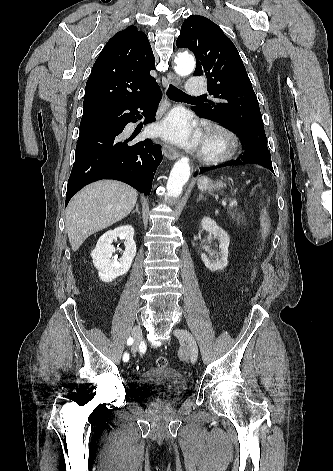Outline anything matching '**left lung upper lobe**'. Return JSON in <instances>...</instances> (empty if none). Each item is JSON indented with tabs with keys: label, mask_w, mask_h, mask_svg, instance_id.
<instances>
[{
	"label": "left lung upper lobe",
	"mask_w": 333,
	"mask_h": 471,
	"mask_svg": "<svg viewBox=\"0 0 333 471\" xmlns=\"http://www.w3.org/2000/svg\"><path fill=\"white\" fill-rule=\"evenodd\" d=\"M176 46L194 53V75L207 78L208 92L217 99L192 110L237 133L245 150L268 149L251 81L236 47L221 28L203 16L191 15L182 24Z\"/></svg>",
	"instance_id": "left-lung-upper-lobe-1"
}]
</instances>
